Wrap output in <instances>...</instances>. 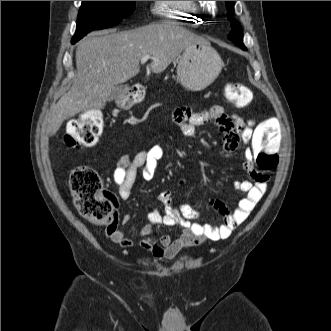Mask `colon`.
Instances as JSON below:
<instances>
[{"label":"colon","mask_w":331,"mask_h":331,"mask_svg":"<svg viewBox=\"0 0 331 331\" xmlns=\"http://www.w3.org/2000/svg\"><path fill=\"white\" fill-rule=\"evenodd\" d=\"M227 100L237 107L250 102V90L243 84L230 83L225 88ZM104 119L100 112L91 110L69 122L64 137L69 147L93 145L100 137ZM282 125L275 118L258 124L253 140L257 149L256 163L261 171L269 172L278 164L277 149L281 141ZM69 187L78 212L90 222L100 226H113V195L103 188L97 172L90 167L77 166L69 175Z\"/></svg>","instance_id":"1"}]
</instances>
